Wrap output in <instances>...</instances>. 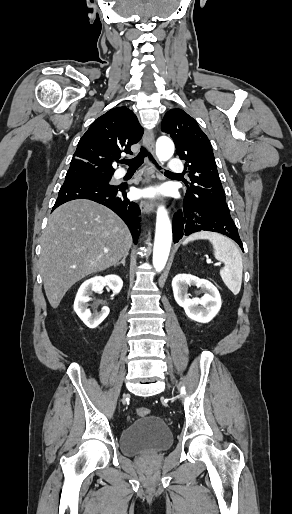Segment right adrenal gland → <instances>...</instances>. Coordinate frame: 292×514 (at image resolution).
Returning a JSON list of instances; mask_svg holds the SVG:
<instances>
[{"instance_id":"2a0ac1e0","label":"right adrenal gland","mask_w":292,"mask_h":514,"mask_svg":"<svg viewBox=\"0 0 292 514\" xmlns=\"http://www.w3.org/2000/svg\"><path fill=\"white\" fill-rule=\"evenodd\" d=\"M125 260H126V256H125V258H123V260H121V262H119V264H115V268H116V266H120V264H122V266H125Z\"/></svg>"}]
</instances>
